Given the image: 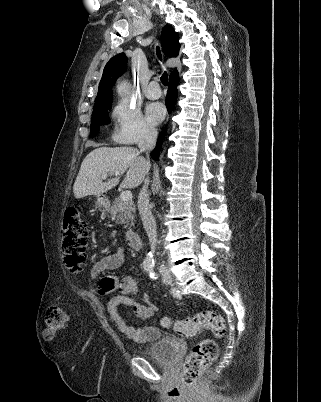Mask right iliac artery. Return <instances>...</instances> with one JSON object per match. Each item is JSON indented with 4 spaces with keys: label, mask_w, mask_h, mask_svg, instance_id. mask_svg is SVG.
<instances>
[{
    "label": "right iliac artery",
    "mask_w": 321,
    "mask_h": 402,
    "mask_svg": "<svg viewBox=\"0 0 321 402\" xmlns=\"http://www.w3.org/2000/svg\"><path fill=\"white\" fill-rule=\"evenodd\" d=\"M146 271L150 270L153 266L151 264H147L143 266Z\"/></svg>",
    "instance_id": "right-iliac-artery-1"
}]
</instances>
